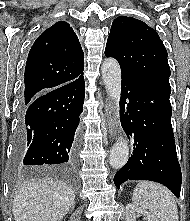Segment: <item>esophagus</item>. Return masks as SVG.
I'll return each instance as SVG.
<instances>
[{
    "label": "esophagus",
    "mask_w": 190,
    "mask_h": 221,
    "mask_svg": "<svg viewBox=\"0 0 190 221\" xmlns=\"http://www.w3.org/2000/svg\"><path fill=\"white\" fill-rule=\"evenodd\" d=\"M105 119L110 136H115L117 133L118 122L114 111L113 103L109 98H106Z\"/></svg>",
    "instance_id": "1"
}]
</instances>
